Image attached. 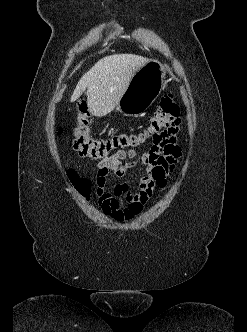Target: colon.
Wrapping results in <instances>:
<instances>
[{
    "instance_id": "obj_1",
    "label": "colon",
    "mask_w": 247,
    "mask_h": 332,
    "mask_svg": "<svg viewBox=\"0 0 247 332\" xmlns=\"http://www.w3.org/2000/svg\"><path fill=\"white\" fill-rule=\"evenodd\" d=\"M178 115L179 106L173 95L168 94L161 98L144 133H121L100 138L92 136L87 104L84 101H79L74 105L70 116V120L75 126L73 147L83 157L100 159L109 157L119 150L136 147L146 137H151L154 145L165 144L178 131ZM70 176L77 190L84 197H89L90 181L78 178L74 173Z\"/></svg>"
}]
</instances>
